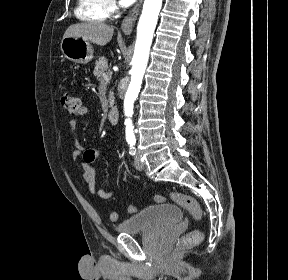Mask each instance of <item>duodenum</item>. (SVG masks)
Masks as SVG:
<instances>
[{
  "label": "duodenum",
  "mask_w": 288,
  "mask_h": 280,
  "mask_svg": "<svg viewBox=\"0 0 288 280\" xmlns=\"http://www.w3.org/2000/svg\"><path fill=\"white\" fill-rule=\"evenodd\" d=\"M108 122L111 125H117L119 122V110L117 107H111L107 114Z\"/></svg>",
  "instance_id": "1"
}]
</instances>
